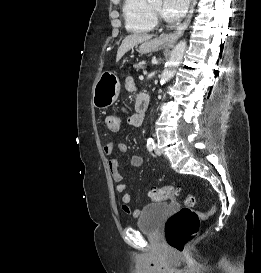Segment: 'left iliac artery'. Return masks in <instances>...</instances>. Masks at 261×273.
Returning a JSON list of instances; mask_svg holds the SVG:
<instances>
[{
    "label": "left iliac artery",
    "instance_id": "1",
    "mask_svg": "<svg viewBox=\"0 0 261 273\" xmlns=\"http://www.w3.org/2000/svg\"><path fill=\"white\" fill-rule=\"evenodd\" d=\"M155 148L154 140L150 137L147 140V149L152 151Z\"/></svg>",
    "mask_w": 261,
    "mask_h": 273
}]
</instances>
